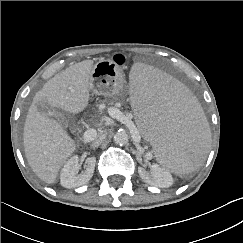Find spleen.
I'll list each match as a JSON object with an SVG mask.
<instances>
[{
	"label": "spleen",
	"instance_id": "spleen-1",
	"mask_svg": "<svg viewBox=\"0 0 243 243\" xmlns=\"http://www.w3.org/2000/svg\"><path fill=\"white\" fill-rule=\"evenodd\" d=\"M125 77L136 124L159 163L174 173L198 168L205 158L210 131L190 90L141 61L131 63Z\"/></svg>",
	"mask_w": 243,
	"mask_h": 243
}]
</instances>
